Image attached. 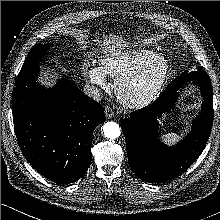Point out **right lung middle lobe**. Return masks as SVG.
<instances>
[{"label":"right lung middle lobe","mask_w":220,"mask_h":220,"mask_svg":"<svg viewBox=\"0 0 220 220\" xmlns=\"http://www.w3.org/2000/svg\"><path fill=\"white\" fill-rule=\"evenodd\" d=\"M51 46L52 44L49 43L47 45L37 44L31 49L26 61L24 62V65L21 68V71L16 78V87L29 85L36 82L39 74V61L42 57H44L48 48Z\"/></svg>","instance_id":"1"}]
</instances>
